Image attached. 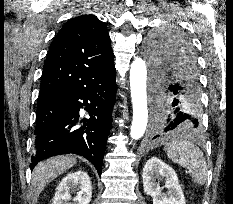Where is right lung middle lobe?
<instances>
[{"instance_id": "right-lung-middle-lobe-1", "label": "right lung middle lobe", "mask_w": 233, "mask_h": 204, "mask_svg": "<svg viewBox=\"0 0 233 204\" xmlns=\"http://www.w3.org/2000/svg\"><path fill=\"white\" fill-rule=\"evenodd\" d=\"M60 115L61 114L57 109L38 104L36 128L34 132L35 136H40L44 132L48 131L49 128L60 118Z\"/></svg>"}]
</instances>
